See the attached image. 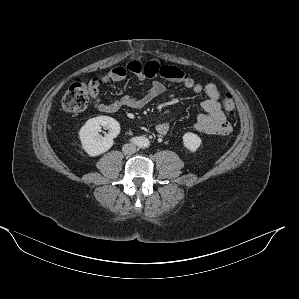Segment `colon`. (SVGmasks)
I'll list each match as a JSON object with an SVG mask.
<instances>
[{
  "label": "colon",
  "mask_w": 299,
  "mask_h": 299,
  "mask_svg": "<svg viewBox=\"0 0 299 299\" xmlns=\"http://www.w3.org/2000/svg\"><path fill=\"white\" fill-rule=\"evenodd\" d=\"M90 95V83L76 80L70 85L63 96L61 107L68 113L80 112L88 106ZM221 105L226 113L232 114L234 112L235 103L231 95H226Z\"/></svg>",
  "instance_id": "obj_1"
}]
</instances>
